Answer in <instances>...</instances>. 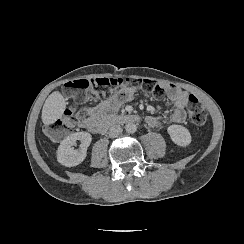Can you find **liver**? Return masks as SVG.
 <instances>
[{
    "label": "liver",
    "instance_id": "1",
    "mask_svg": "<svg viewBox=\"0 0 244 244\" xmlns=\"http://www.w3.org/2000/svg\"><path fill=\"white\" fill-rule=\"evenodd\" d=\"M66 108V101L59 91L52 92L42 108V122L45 125L54 123L56 120L62 117Z\"/></svg>",
    "mask_w": 244,
    "mask_h": 244
}]
</instances>
